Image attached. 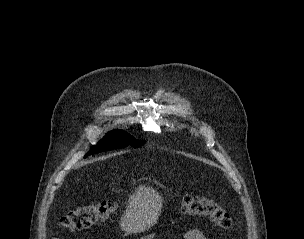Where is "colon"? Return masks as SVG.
I'll list each match as a JSON object with an SVG mask.
<instances>
[{
  "label": "colon",
  "instance_id": "1",
  "mask_svg": "<svg viewBox=\"0 0 304 239\" xmlns=\"http://www.w3.org/2000/svg\"><path fill=\"white\" fill-rule=\"evenodd\" d=\"M117 207V202L111 199L81 204L65 214L59 224L69 231L86 229L108 219ZM181 209L189 215L207 217L220 229L232 228L230 214L212 198L186 194L181 198Z\"/></svg>",
  "mask_w": 304,
  "mask_h": 239
}]
</instances>
